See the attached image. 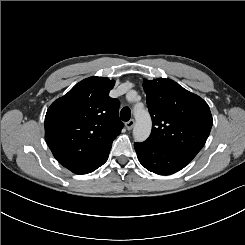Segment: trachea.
I'll return each instance as SVG.
<instances>
[{
    "label": "trachea",
    "instance_id": "trachea-1",
    "mask_svg": "<svg viewBox=\"0 0 245 245\" xmlns=\"http://www.w3.org/2000/svg\"><path fill=\"white\" fill-rule=\"evenodd\" d=\"M131 116V111L128 107H124L121 112H120V118L122 119V121H129Z\"/></svg>",
    "mask_w": 245,
    "mask_h": 245
}]
</instances>
